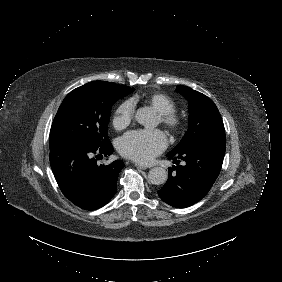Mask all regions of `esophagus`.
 Returning <instances> with one entry per match:
<instances>
[{
	"mask_svg": "<svg viewBox=\"0 0 282 282\" xmlns=\"http://www.w3.org/2000/svg\"><path fill=\"white\" fill-rule=\"evenodd\" d=\"M135 166L138 168V169H141V170H145V169H147V167L146 166H143V165H141V164H135Z\"/></svg>",
	"mask_w": 282,
	"mask_h": 282,
	"instance_id": "34e87169",
	"label": "esophagus"
}]
</instances>
